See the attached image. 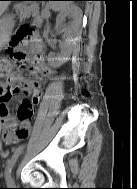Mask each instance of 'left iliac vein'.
Returning <instances> with one entry per match:
<instances>
[{"instance_id": "1", "label": "left iliac vein", "mask_w": 137, "mask_h": 189, "mask_svg": "<svg viewBox=\"0 0 137 189\" xmlns=\"http://www.w3.org/2000/svg\"><path fill=\"white\" fill-rule=\"evenodd\" d=\"M8 186H13L14 185V179L13 177H10V179L7 181Z\"/></svg>"}]
</instances>
